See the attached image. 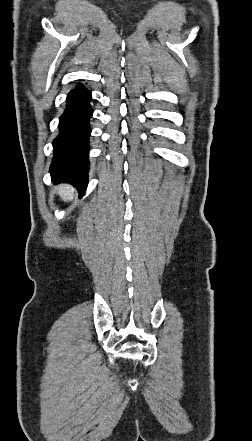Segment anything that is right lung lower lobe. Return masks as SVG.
<instances>
[{"label": "right lung lower lobe", "mask_w": 252, "mask_h": 441, "mask_svg": "<svg viewBox=\"0 0 252 441\" xmlns=\"http://www.w3.org/2000/svg\"><path fill=\"white\" fill-rule=\"evenodd\" d=\"M91 93L79 85L67 96V105L59 120V135L53 141L54 157L50 166L53 181L76 187L82 196L89 170V120L93 114L89 104Z\"/></svg>", "instance_id": "98d812e1"}]
</instances>
